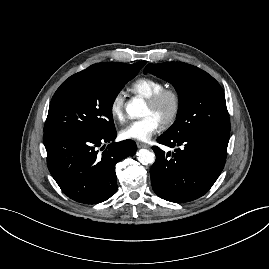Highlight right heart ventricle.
<instances>
[{
    "mask_svg": "<svg viewBox=\"0 0 269 269\" xmlns=\"http://www.w3.org/2000/svg\"><path fill=\"white\" fill-rule=\"evenodd\" d=\"M163 88V83L152 77H140L133 81L130 85V91L135 95L149 98L155 92Z\"/></svg>",
    "mask_w": 269,
    "mask_h": 269,
    "instance_id": "obj_1",
    "label": "right heart ventricle"
}]
</instances>
